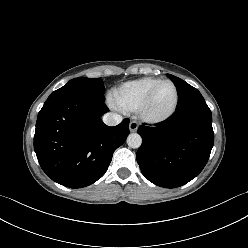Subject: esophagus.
I'll return each mask as SVG.
<instances>
[{"instance_id": "obj_1", "label": "esophagus", "mask_w": 248, "mask_h": 248, "mask_svg": "<svg viewBox=\"0 0 248 248\" xmlns=\"http://www.w3.org/2000/svg\"><path fill=\"white\" fill-rule=\"evenodd\" d=\"M138 129V123L136 121H131L129 123V130L130 132H136Z\"/></svg>"}]
</instances>
